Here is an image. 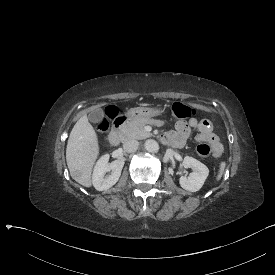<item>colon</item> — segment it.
Here are the masks:
<instances>
[{"label":"colon","instance_id":"1","mask_svg":"<svg viewBox=\"0 0 275 275\" xmlns=\"http://www.w3.org/2000/svg\"><path fill=\"white\" fill-rule=\"evenodd\" d=\"M118 111L114 108H108L105 113L104 120L113 119L116 117ZM170 114L174 118H190L194 115V109L188 105H184L181 102H174L170 106ZM106 129L105 125L102 123L99 124L98 131L103 133ZM197 154L202 158H207L211 154V147L208 143H200L196 147Z\"/></svg>","mask_w":275,"mask_h":275}]
</instances>
